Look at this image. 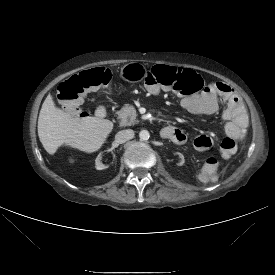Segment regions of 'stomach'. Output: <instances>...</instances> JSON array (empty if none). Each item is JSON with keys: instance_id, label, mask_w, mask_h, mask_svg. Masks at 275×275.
<instances>
[{"instance_id": "1", "label": "stomach", "mask_w": 275, "mask_h": 275, "mask_svg": "<svg viewBox=\"0 0 275 275\" xmlns=\"http://www.w3.org/2000/svg\"><path fill=\"white\" fill-rule=\"evenodd\" d=\"M145 74V67L137 62H131L124 65L120 71L121 78L129 83L139 82L145 77Z\"/></svg>"}]
</instances>
